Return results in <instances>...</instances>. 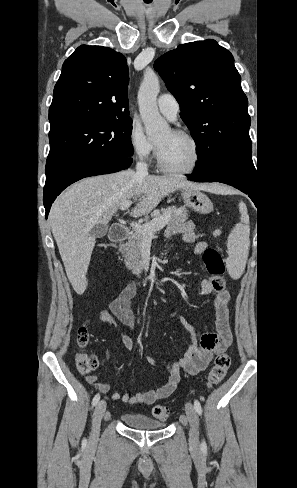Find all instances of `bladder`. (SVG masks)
Masks as SVG:
<instances>
[{
	"instance_id": "1",
	"label": "bladder",
	"mask_w": 297,
	"mask_h": 488,
	"mask_svg": "<svg viewBox=\"0 0 297 488\" xmlns=\"http://www.w3.org/2000/svg\"><path fill=\"white\" fill-rule=\"evenodd\" d=\"M120 419L127 427L136 430L152 431L165 427L164 422L139 413H123Z\"/></svg>"
}]
</instances>
